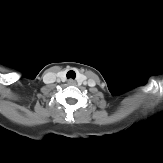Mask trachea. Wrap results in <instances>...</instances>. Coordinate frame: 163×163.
<instances>
[{
  "label": "trachea",
  "mask_w": 163,
  "mask_h": 163,
  "mask_svg": "<svg viewBox=\"0 0 163 163\" xmlns=\"http://www.w3.org/2000/svg\"><path fill=\"white\" fill-rule=\"evenodd\" d=\"M67 79H75L76 73L73 70L67 72Z\"/></svg>",
  "instance_id": "trachea-1"
}]
</instances>
